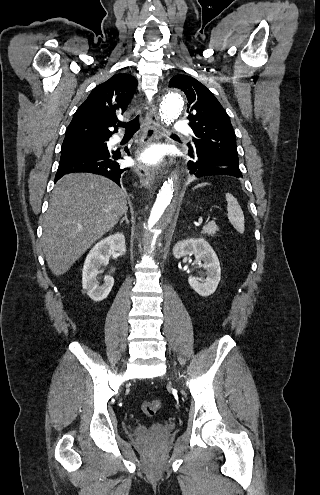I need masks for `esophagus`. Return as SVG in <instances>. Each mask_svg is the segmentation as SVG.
I'll return each instance as SVG.
<instances>
[{
  "label": "esophagus",
  "mask_w": 320,
  "mask_h": 495,
  "mask_svg": "<svg viewBox=\"0 0 320 495\" xmlns=\"http://www.w3.org/2000/svg\"><path fill=\"white\" fill-rule=\"evenodd\" d=\"M159 127V117L155 105H152L147 113L145 120V132L142 137V144L148 145L158 139L157 131ZM134 170L138 175L141 184L144 187H151L154 183V176L144 164L136 163Z\"/></svg>",
  "instance_id": "obj_1"
}]
</instances>
